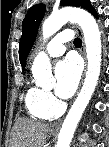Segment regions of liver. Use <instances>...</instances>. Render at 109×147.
Wrapping results in <instances>:
<instances>
[{
  "label": "liver",
  "instance_id": "liver-1",
  "mask_svg": "<svg viewBox=\"0 0 109 147\" xmlns=\"http://www.w3.org/2000/svg\"><path fill=\"white\" fill-rule=\"evenodd\" d=\"M48 131V124L18 118L11 131L9 147H43Z\"/></svg>",
  "mask_w": 109,
  "mask_h": 147
}]
</instances>
